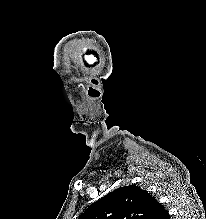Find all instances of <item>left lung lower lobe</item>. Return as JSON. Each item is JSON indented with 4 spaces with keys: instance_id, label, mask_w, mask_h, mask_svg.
I'll return each mask as SVG.
<instances>
[{
    "instance_id": "obj_1",
    "label": "left lung lower lobe",
    "mask_w": 206,
    "mask_h": 219,
    "mask_svg": "<svg viewBox=\"0 0 206 219\" xmlns=\"http://www.w3.org/2000/svg\"><path fill=\"white\" fill-rule=\"evenodd\" d=\"M149 219H170V215L155 199L152 203V213Z\"/></svg>"
}]
</instances>
